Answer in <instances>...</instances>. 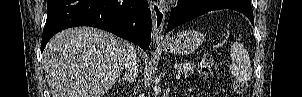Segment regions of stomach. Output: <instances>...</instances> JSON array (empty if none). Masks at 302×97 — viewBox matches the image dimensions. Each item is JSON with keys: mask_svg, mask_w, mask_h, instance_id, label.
<instances>
[{"mask_svg": "<svg viewBox=\"0 0 302 97\" xmlns=\"http://www.w3.org/2000/svg\"><path fill=\"white\" fill-rule=\"evenodd\" d=\"M203 41L204 36L202 33L189 29L170 37L165 43L161 44V47L169 53L189 55L196 51Z\"/></svg>", "mask_w": 302, "mask_h": 97, "instance_id": "0dacf381", "label": "stomach"}]
</instances>
